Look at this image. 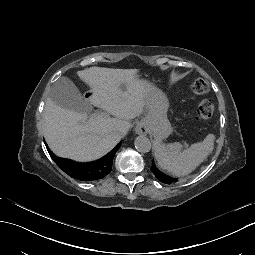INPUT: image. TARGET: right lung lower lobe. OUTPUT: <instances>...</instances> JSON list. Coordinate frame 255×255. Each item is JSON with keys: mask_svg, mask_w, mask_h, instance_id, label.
Here are the masks:
<instances>
[{"mask_svg": "<svg viewBox=\"0 0 255 255\" xmlns=\"http://www.w3.org/2000/svg\"><path fill=\"white\" fill-rule=\"evenodd\" d=\"M85 172H86L87 174H90V173L92 172V169H91L90 167H87V168L85 169Z\"/></svg>", "mask_w": 255, "mask_h": 255, "instance_id": "obj_1", "label": "right lung lower lobe"}]
</instances>
